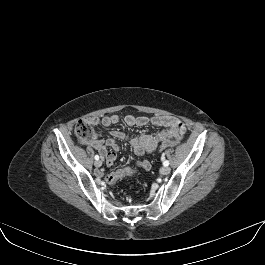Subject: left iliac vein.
<instances>
[{
  "label": "left iliac vein",
  "mask_w": 265,
  "mask_h": 265,
  "mask_svg": "<svg viewBox=\"0 0 265 265\" xmlns=\"http://www.w3.org/2000/svg\"><path fill=\"white\" fill-rule=\"evenodd\" d=\"M170 173V168L168 166H163L161 169H160V174L162 175H167Z\"/></svg>",
  "instance_id": "1"
}]
</instances>
